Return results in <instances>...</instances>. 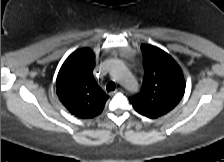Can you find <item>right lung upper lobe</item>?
I'll use <instances>...</instances> for the list:
<instances>
[{
    "instance_id": "right-lung-upper-lobe-1",
    "label": "right lung upper lobe",
    "mask_w": 224,
    "mask_h": 162,
    "mask_svg": "<svg viewBox=\"0 0 224 162\" xmlns=\"http://www.w3.org/2000/svg\"><path fill=\"white\" fill-rule=\"evenodd\" d=\"M95 54L89 48L73 52L63 63L57 76V95L63 105L79 118L99 115L108 96L94 76Z\"/></svg>"
}]
</instances>
